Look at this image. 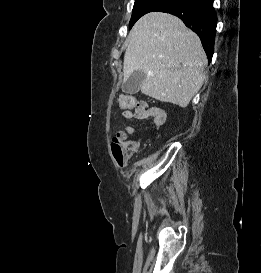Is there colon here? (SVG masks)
Segmentation results:
<instances>
[{"mask_svg":"<svg viewBox=\"0 0 261 273\" xmlns=\"http://www.w3.org/2000/svg\"><path fill=\"white\" fill-rule=\"evenodd\" d=\"M119 105L121 108L131 109L135 116H141L144 112V105L142 102L136 100L132 95H123L119 98ZM135 142H126L123 133L116 134L111 143V151L115 163L118 166H124L129 158V155L136 149Z\"/></svg>","mask_w":261,"mask_h":273,"instance_id":"obj_1","label":"colon"}]
</instances>
